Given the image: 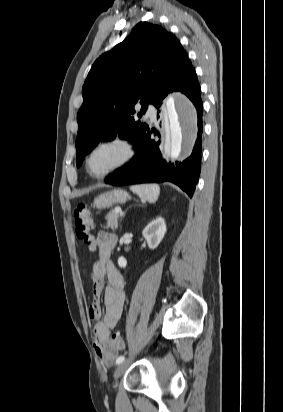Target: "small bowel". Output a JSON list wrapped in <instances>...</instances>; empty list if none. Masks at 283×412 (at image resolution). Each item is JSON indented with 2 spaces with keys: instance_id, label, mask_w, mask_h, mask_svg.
<instances>
[{
  "instance_id": "c3829d8e",
  "label": "small bowel",
  "mask_w": 283,
  "mask_h": 412,
  "mask_svg": "<svg viewBox=\"0 0 283 412\" xmlns=\"http://www.w3.org/2000/svg\"><path fill=\"white\" fill-rule=\"evenodd\" d=\"M116 244L115 235L106 231L97 233L95 246L98 249V259L93 263L90 271L93 302L89 308V317L95 321L92 329L93 344L97 355L105 365H111L116 357V352L105 354L103 347L111 330L117 326L121 318L125 302L124 278L111 259ZM101 300L105 307L103 315Z\"/></svg>"
}]
</instances>
